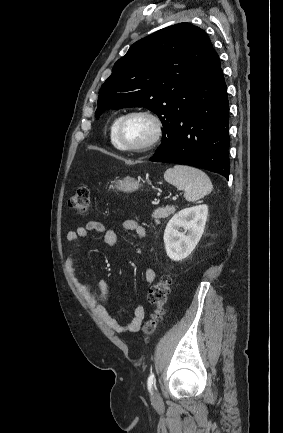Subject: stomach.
I'll list each match as a JSON object with an SVG mask.
<instances>
[{"instance_id": "0dacf381", "label": "stomach", "mask_w": 283, "mask_h": 433, "mask_svg": "<svg viewBox=\"0 0 283 433\" xmlns=\"http://www.w3.org/2000/svg\"><path fill=\"white\" fill-rule=\"evenodd\" d=\"M142 186L139 180L132 178V176H125L122 180H116L115 184H110V188H117V190H123V192H133Z\"/></svg>"}]
</instances>
